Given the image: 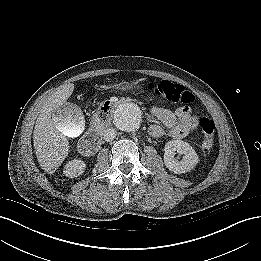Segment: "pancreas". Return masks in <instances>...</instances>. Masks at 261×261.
I'll return each mask as SVG.
<instances>
[{"label":"pancreas","mask_w":261,"mask_h":261,"mask_svg":"<svg viewBox=\"0 0 261 261\" xmlns=\"http://www.w3.org/2000/svg\"><path fill=\"white\" fill-rule=\"evenodd\" d=\"M103 128H104V126H101V127H100V129H103Z\"/></svg>","instance_id":"1"}]
</instances>
